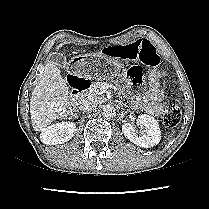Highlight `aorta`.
I'll return each instance as SVG.
<instances>
[{
  "instance_id": "1",
  "label": "aorta",
  "mask_w": 209,
  "mask_h": 209,
  "mask_svg": "<svg viewBox=\"0 0 209 209\" xmlns=\"http://www.w3.org/2000/svg\"><path fill=\"white\" fill-rule=\"evenodd\" d=\"M102 114L106 118H111L116 115V108L112 104H107L103 107Z\"/></svg>"
}]
</instances>
